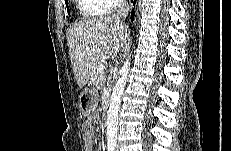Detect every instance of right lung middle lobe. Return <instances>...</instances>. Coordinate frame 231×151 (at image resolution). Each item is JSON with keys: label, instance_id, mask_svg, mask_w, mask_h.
I'll use <instances>...</instances> for the list:
<instances>
[{"label": "right lung middle lobe", "instance_id": "right-lung-middle-lobe-1", "mask_svg": "<svg viewBox=\"0 0 231 151\" xmlns=\"http://www.w3.org/2000/svg\"><path fill=\"white\" fill-rule=\"evenodd\" d=\"M66 3V6L68 7V1L67 2H65ZM68 10V14H69V9H67Z\"/></svg>", "mask_w": 231, "mask_h": 151}]
</instances>
